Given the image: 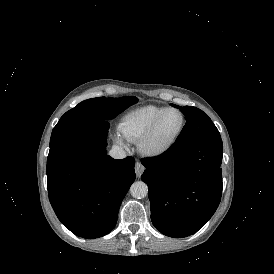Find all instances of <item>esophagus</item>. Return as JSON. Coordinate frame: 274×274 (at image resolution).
Segmentation results:
<instances>
[{
	"mask_svg": "<svg viewBox=\"0 0 274 274\" xmlns=\"http://www.w3.org/2000/svg\"><path fill=\"white\" fill-rule=\"evenodd\" d=\"M144 170H145V167L140 162H137L135 164V172L138 177L141 176V174L144 172Z\"/></svg>",
	"mask_w": 274,
	"mask_h": 274,
	"instance_id": "1",
	"label": "esophagus"
}]
</instances>
